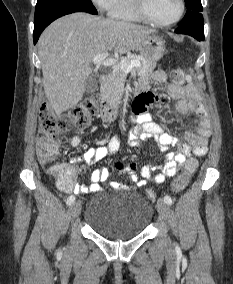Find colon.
I'll return each instance as SVG.
<instances>
[{
  "instance_id": "colon-1",
  "label": "colon",
  "mask_w": 233,
  "mask_h": 284,
  "mask_svg": "<svg viewBox=\"0 0 233 284\" xmlns=\"http://www.w3.org/2000/svg\"><path fill=\"white\" fill-rule=\"evenodd\" d=\"M170 77L174 84L179 85L184 82V72L181 69L172 70ZM98 105V99L90 96L67 113L55 115L48 103L43 104L39 115V132L36 142V153L39 161L45 165L53 162L58 155L59 135L73 128L87 127L94 118ZM192 119L197 120L198 114L194 113ZM114 166L120 172H124L127 168V165L120 160L115 161ZM197 169L198 161L195 158H189L185 162L183 171L172 181V190L177 193L182 192ZM73 185L74 181L71 178H66L62 182V189L69 191ZM147 198L154 201L156 199L155 192L151 189L148 190Z\"/></svg>"
}]
</instances>
